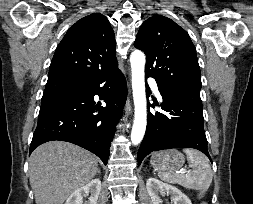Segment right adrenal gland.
I'll list each match as a JSON object with an SVG mask.
<instances>
[{
	"label": "right adrenal gland",
	"instance_id": "1",
	"mask_svg": "<svg viewBox=\"0 0 253 204\" xmlns=\"http://www.w3.org/2000/svg\"><path fill=\"white\" fill-rule=\"evenodd\" d=\"M98 174H100V169H98Z\"/></svg>",
	"mask_w": 253,
	"mask_h": 204
}]
</instances>
